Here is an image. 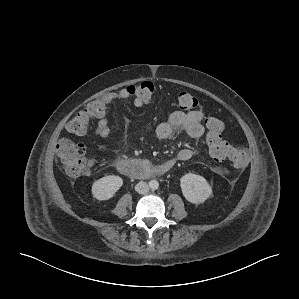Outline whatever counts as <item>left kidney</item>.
Returning <instances> with one entry per match:
<instances>
[{"label":"left kidney","instance_id":"obj_1","mask_svg":"<svg viewBox=\"0 0 299 299\" xmlns=\"http://www.w3.org/2000/svg\"><path fill=\"white\" fill-rule=\"evenodd\" d=\"M180 186L185 199L193 204L205 202L212 194V188L207 180L193 173L182 176Z\"/></svg>","mask_w":299,"mask_h":299}]
</instances>
